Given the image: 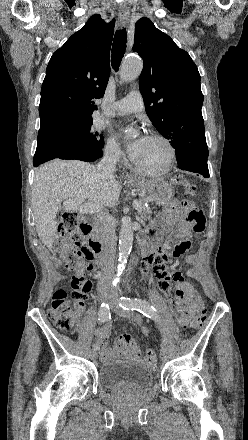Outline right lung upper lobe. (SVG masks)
Instances as JSON below:
<instances>
[{"label": "right lung upper lobe", "instance_id": "cb5924a9", "mask_svg": "<svg viewBox=\"0 0 248 440\" xmlns=\"http://www.w3.org/2000/svg\"><path fill=\"white\" fill-rule=\"evenodd\" d=\"M114 25L93 15L54 52L41 89L39 132L92 120L93 99L104 95L110 75Z\"/></svg>", "mask_w": 248, "mask_h": 440}]
</instances>
